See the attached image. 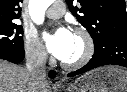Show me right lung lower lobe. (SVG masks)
I'll use <instances>...</instances> for the list:
<instances>
[{
	"mask_svg": "<svg viewBox=\"0 0 127 92\" xmlns=\"http://www.w3.org/2000/svg\"><path fill=\"white\" fill-rule=\"evenodd\" d=\"M25 56L24 50H14L8 47L0 46V58L10 61L12 63H19L23 60ZM50 77H55L56 73L51 71L49 73Z\"/></svg>",
	"mask_w": 127,
	"mask_h": 92,
	"instance_id": "obj_1",
	"label": "right lung lower lobe"
}]
</instances>
